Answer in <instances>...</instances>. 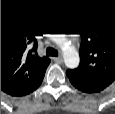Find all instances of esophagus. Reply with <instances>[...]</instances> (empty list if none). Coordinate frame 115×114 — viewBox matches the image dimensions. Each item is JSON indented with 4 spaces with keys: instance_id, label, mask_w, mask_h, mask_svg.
<instances>
[{
    "instance_id": "esophagus-1",
    "label": "esophagus",
    "mask_w": 115,
    "mask_h": 114,
    "mask_svg": "<svg viewBox=\"0 0 115 114\" xmlns=\"http://www.w3.org/2000/svg\"><path fill=\"white\" fill-rule=\"evenodd\" d=\"M53 61L56 62V63H58V64H62L63 63L62 57H54Z\"/></svg>"
}]
</instances>
